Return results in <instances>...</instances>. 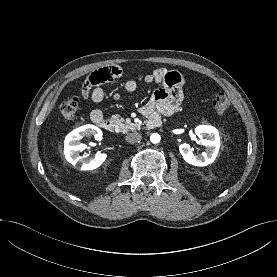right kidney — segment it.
Here are the masks:
<instances>
[{"instance_id":"1","label":"right kidney","mask_w":277,"mask_h":277,"mask_svg":"<svg viewBox=\"0 0 277 277\" xmlns=\"http://www.w3.org/2000/svg\"><path fill=\"white\" fill-rule=\"evenodd\" d=\"M85 136H94L95 139L102 137V131L94 125H84L70 132L64 141V154L66 160L81 170H94L106 159L105 153L96 154L93 158L87 159L79 156V152L86 149V145L79 142Z\"/></svg>"}]
</instances>
